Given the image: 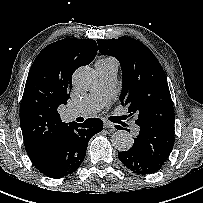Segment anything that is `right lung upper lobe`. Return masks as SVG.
Returning a JSON list of instances; mask_svg holds the SVG:
<instances>
[{
  "instance_id": "obj_1",
  "label": "right lung upper lobe",
  "mask_w": 203,
  "mask_h": 203,
  "mask_svg": "<svg viewBox=\"0 0 203 203\" xmlns=\"http://www.w3.org/2000/svg\"><path fill=\"white\" fill-rule=\"evenodd\" d=\"M96 53L95 40L65 38L46 46L33 62L20 104V126L34 165L49 155L68 124L57 108L67 104L74 71L91 63Z\"/></svg>"
}]
</instances>
